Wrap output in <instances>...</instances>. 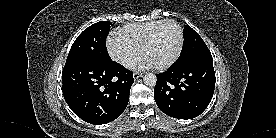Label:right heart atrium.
I'll use <instances>...</instances> for the list:
<instances>
[{
  "label": "right heart atrium",
  "mask_w": 276,
  "mask_h": 138,
  "mask_svg": "<svg viewBox=\"0 0 276 138\" xmlns=\"http://www.w3.org/2000/svg\"><path fill=\"white\" fill-rule=\"evenodd\" d=\"M107 49L111 58L126 68L131 67L140 54V48L118 34L111 35L108 38Z\"/></svg>",
  "instance_id": "right-heart-atrium-1"
}]
</instances>
